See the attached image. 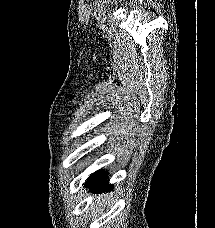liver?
Returning <instances> with one entry per match:
<instances>
[{"instance_id":"6515ba94","label":"liver","mask_w":215,"mask_h":228,"mask_svg":"<svg viewBox=\"0 0 215 228\" xmlns=\"http://www.w3.org/2000/svg\"><path fill=\"white\" fill-rule=\"evenodd\" d=\"M100 198H101V196H100ZM100 198H99L98 202H100Z\"/></svg>"}]
</instances>
